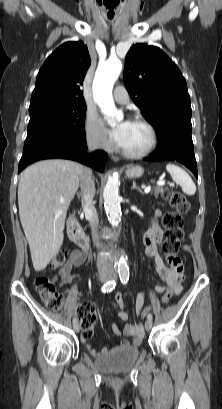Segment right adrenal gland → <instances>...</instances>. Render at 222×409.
I'll list each match as a JSON object with an SVG mask.
<instances>
[{"mask_svg": "<svg viewBox=\"0 0 222 409\" xmlns=\"http://www.w3.org/2000/svg\"><path fill=\"white\" fill-rule=\"evenodd\" d=\"M77 197H78V199H80V197H81V193H80V192L77 193Z\"/></svg>", "mask_w": 222, "mask_h": 409, "instance_id": "right-adrenal-gland-1", "label": "right adrenal gland"}]
</instances>
